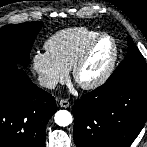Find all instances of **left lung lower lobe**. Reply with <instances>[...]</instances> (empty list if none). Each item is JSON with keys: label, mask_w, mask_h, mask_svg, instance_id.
<instances>
[{"label": "left lung lower lobe", "mask_w": 147, "mask_h": 147, "mask_svg": "<svg viewBox=\"0 0 147 147\" xmlns=\"http://www.w3.org/2000/svg\"><path fill=\"white\" fill-rule=\"evenodd\" d=\"M77 147H129L147 118V79L107 81L73 109Z\"/></svg>", "instance_id": "1"}]
</instances>
